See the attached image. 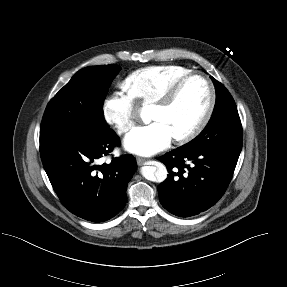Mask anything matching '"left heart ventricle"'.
<instances>
[{
    "label": "left heart ventricle",
    "instance_id": "obj_1",
    "mask_svg": "<svg viewBox=\"0 0 287 287\" xmlns=\"http://www.w3.org/2000/svg\"><path fill=\"white\" fill-rule=\"evenodd\" d=\"M209 102V89L199 77L189 80L168 108L153 107L150 119L161 121L173 137L191 130L202 118Z\"/></svg>",
    "mask_w": 287,
    "mask_h": 287
}]
</instances>
